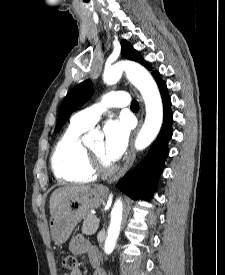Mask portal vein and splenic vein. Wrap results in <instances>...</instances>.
Masks as SVG:
<instances>
[{
    "label": "portal vein and splenic vein",
    "mask_w": 225,
    "mask_h": 275,
    "mask_svg": "<svg viewBox=\"0 0 225 275\" xmlns=\"http://www.w3.org/2000/svg\"><path fill=\"white\" fill-rule=\"evenodd\" d=\"M99 221H100L99 218L96 217L95 222L99 223Z\"/></svg>",
    "instance_id": "portal-vein-and-splenic-vein-1"
}]
</instances>
